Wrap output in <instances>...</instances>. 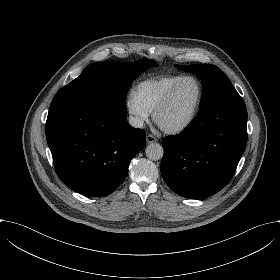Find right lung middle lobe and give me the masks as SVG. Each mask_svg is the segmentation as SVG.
<instances>
[{
	"label": "right lung middle lobe",
	"instance_id": "obj_1",
	"mask_svg": "<svg viewBox=\"0 0 280 280\" xmlns=\"http://www.w3.org/2000/svg\"><path fill=\"white\" fill-rule=\"evenodd\" d=\"M157 66L143 58L133 64L106 61L88 65L79 77L62 87L55 96L67 95L87 99L126 114L128 89L142 72Z\"/></svg>",
	"mask_w": 280,
	"mask_h": 280
}]
</instances>
